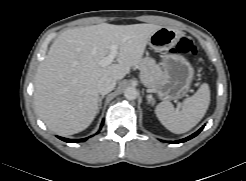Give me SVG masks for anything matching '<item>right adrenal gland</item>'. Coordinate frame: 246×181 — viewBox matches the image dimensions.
<instances>
[{
    "label": "right adrenal gland",
    "mask_w": 246,
    "mask_h": 181,
    "mask_svg": "<svg viewBox=\"0 0 246 181\" xmlns=\"http://www.w3.org/2000/svg\"><path fill=\"white\" fill-rule=\"evenodd\" d=\"M104 95H102L100 98H99V106H98V111H97V113L99 112V110H100V108H101V106H102V100L104 99Z\"/></svg>",
    "instance_id": "right-adrenal-gland-1"
}]
</instances>
